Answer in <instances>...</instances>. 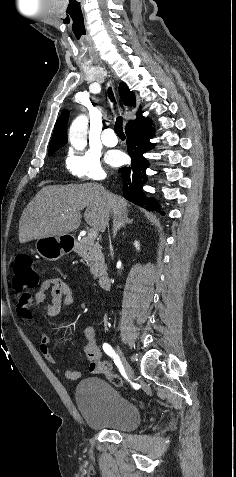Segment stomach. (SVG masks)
<instances>
[{
  "mask_svg": "<svg viewBox=\"0 0 236 477\" xmlns=\"http://www.w3.org/2000/svg\"><path fill=\"white\" fill-rule=\"evenodd\" d=\"M62 236L39 238L35 247L37 253L46 260L55 261L67 254L70 249L62 242Z\"/></svg>",
  "mask_w": 236,
  "mask_h": 477,
  "instance_id": "1",
  "label": "stomach"
}]
</instances>
